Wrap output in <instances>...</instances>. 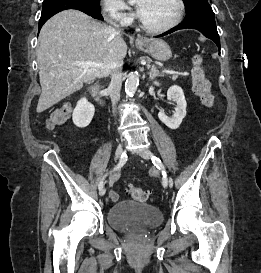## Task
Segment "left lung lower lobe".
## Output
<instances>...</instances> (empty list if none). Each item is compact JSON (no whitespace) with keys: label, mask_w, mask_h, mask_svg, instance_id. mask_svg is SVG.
I'll use <instances>...</instances> for the list:
<instances>
[{"label":"left lung lower lobe","mask_w":261,"mask_h":273,"mask_svg":"<svg viewBox=\"0 0 261 273\" xmlns=\"http://www.w3.org/2000/svg\"><path fill=\"white\" fill-rule=\"evenodd\" d=\"M185 28L199 30L205 37L213 40L220 50V40L214 19V12L209 3H202L194 6L191 10L186 12L185 19L182 23L156 37H161Z\"/></svg>","instance_id":"1"}]
</instances>
